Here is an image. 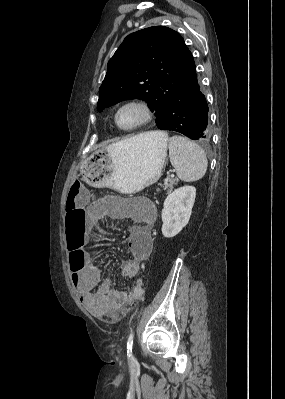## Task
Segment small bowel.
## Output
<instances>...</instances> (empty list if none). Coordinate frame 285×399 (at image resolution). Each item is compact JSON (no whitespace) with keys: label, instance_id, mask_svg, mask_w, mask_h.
<instances>
[{"label":"small bowel","instance_id":"1","mask_svg":"<svg viewBox=\"0 0 285 399\" xmlns=\"http://www.w3.org/2000/svg\"><path fill=\"white\" fill-rule=\"evenodd\" d=\"M123 198L108 197L99 203L95 216L97 219L107 215L116 218L126 217ZM80 207L88 205V198L81 196L77 199ZM136 224L128 227V249L130 257L121 267V274L124 279H134L140 274L141 262L147 259L152 251L153 243L150 231L155 223L153 219H147L141 212L134 221ZM66 233L71 231L83 246L91 243L90 233L93 225L78 223L70 225L66 219ZM71 283L74 286L80 301L84 307L91 310L95 317L106 320L110 323L117 322L123 309L127 305L143 300L144 291L135 295L134 290L127 292L114 288L107 276L93 258L88 254L85 256L84 267L71 275Z\"/></svg>","mask_w":285,"mask_h":399}]
</instances>
